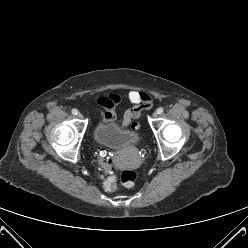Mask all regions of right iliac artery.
<instances>
[{"label": "right iliac artery", "mask_w": 248, "mask_h": 248, "mask_svg": "<svg viewBox=\"0 0 248 248\" xmlns=\"http://www.w3.org/2000/svg\"><path fill=\"white\" fill-rule=\"evenodd\" d=\"M72 114L77 115L78 114V110L77 109H72Z\"/></svg>", "instance_id": "82829eb1"}]
</instances>
